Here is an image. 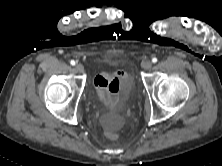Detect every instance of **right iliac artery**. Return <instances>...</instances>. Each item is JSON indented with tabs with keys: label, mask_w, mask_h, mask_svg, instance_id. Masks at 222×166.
<instances>
[{
	"label": "right iliac artery",
	"mask_w": 222,
	"mask_h": 166,
	"mask_svg": "<svg viewBox=\"0 0 222 166\" xmlns=\"http://www.w3.org/2000/svg\"><path fill=\"white\" fill-rule=\"evenodd\" d=\"M70 64L74 66L75 65V61L71 60Z\"/></svg>",
	"instance_id": "82829eb1"
}]
</instances>
